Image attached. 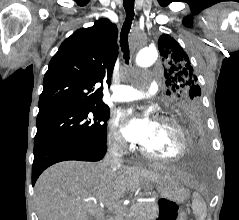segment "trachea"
<instances>
[{"label": "trachea", "mask_w": 239, "mask_h": 220, "mask_svg": "<svg viewBox=\"0 0 239 220\" xmlns=\"http://www.w3.org/2000/svg\"><path fill=\"white\" fill-rule=\"evenodd\" d=\"M123 6L126 11V18L120 35V46L124 54L125 62L129 64L128 33L134 17V0H123Z\"/></svg>", "instance_id": "obj_1"}]
</instances>
